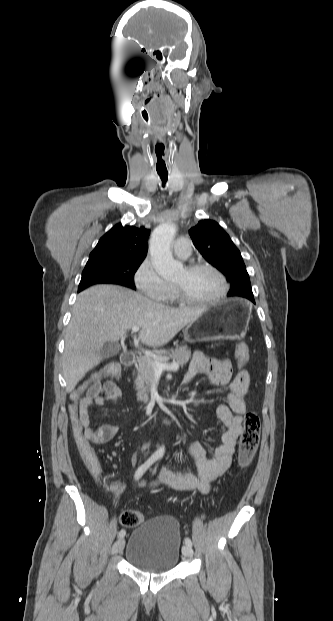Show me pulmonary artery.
I'll return each mask as SVG.
<instances>
[{"instance_id":"pulmonary-artery-1","label":"pulmonary artery","mask_w":333,"mask_h":621,"mask_svg":"<svg viewBox=\"0 0 333 621\" xmlns=\"http://www.w3.org/2000/svg\"><path fill=\"white\" fill-rule=\"evenodd\" d=\"M173 251L177 257L187 259L191 255L190 240L184 237L178 238L174 243Z\"/></svg>"}]
</instances>
